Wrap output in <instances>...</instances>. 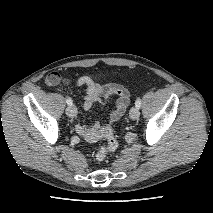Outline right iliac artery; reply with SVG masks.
Wrapping results in <instances>:
<instances>
[{"label": "right iliac artery", "instance_id": "right-iliac-artery-1", "mask_svg": "<svg viewBox=\"0 0 213 213\" xmlns=\"http://www.w3.org/2000/svg\"><path fill=\"white\" fill-rule=\"evenodd\" d=\"M66 103H67L68 105H72V99H71L70 97H67V98H66Z\"/></svg>", "mask_w": 213, "mask_h": 213}]
</instances>
